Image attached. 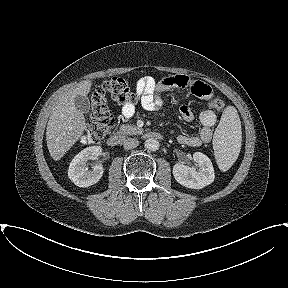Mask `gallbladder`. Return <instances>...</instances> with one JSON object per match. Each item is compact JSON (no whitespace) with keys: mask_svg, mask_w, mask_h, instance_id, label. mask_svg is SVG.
Segmentation results:
<instances>
[{"mask_svg":"<svg viewBox=\"0 0 288 288\" xmlns=\"http://www.w3.org/2000/svg\"><path fill=\"white\" fill-rule=\"evenodd\" d=\"M75 107L82 113H88L90 110V101L86 96L78 95L74 99Z\"/></svg>","mask_w":288,"mask_h":288,"instance_id":"bac80fb5","label":"gallbladder"}]
</instances>
